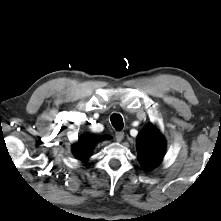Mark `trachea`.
Here are the masks:
<instances>
[{
    "label": "trachea",
    "instance_id": "1",
    "mask_svg": "<svg viewBox=\"0 0 221 221\" xmlns=\"http://www.w3.org/2000/svg\"><path fill=\"white\" fill-rule=\"evenodd\" d=\"M110 121L113 125V127L117 130V131H121L124 127V123H123V119L121 117V115L119 114H112L110 117Z\"/></svg>",
    "mask_w": 221,
    "mask_h": 221
}]
</instances>
